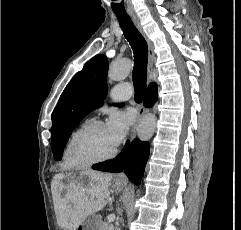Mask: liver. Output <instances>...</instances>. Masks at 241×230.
Listing matches in <instances>:
<instances>
[{"label":"liver","instance_id":"liver-1","mask_svg":"<svg viewBox=\"0 0 241 230\" xmlns=\"http://www.w3.org/2000/svg\"><path fill=\"white\" fill-rule=\"evenodd\" d=\"M80 175H88L91 181L82 184L70 174H56L52 180L57 221L64 230H76L88 216L103 209L109 199L111 174L87 170Z\"/></svg>","mask_w":241,"mask_h":230}]
</instances>
